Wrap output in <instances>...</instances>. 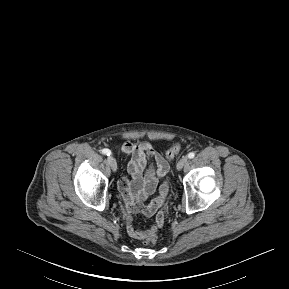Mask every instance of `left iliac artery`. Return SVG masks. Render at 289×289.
Returning <instances> with one entry per match:
<instances>
[{"instance_id":"44dca946","label":"left iliac artery","mask_w":289,"mask_h":289,"mask_svg":"<svg viewBox=\"0 0 289 289\" xmlns=\"http://www.w3.org/2000/svg\"><path fill=\"white\" fill-rule=\"evenodd\" d=\"M187 156H188L189 159H192V158H194L195 153L194 152H190Z\"/></svg>"}]
</instances>
